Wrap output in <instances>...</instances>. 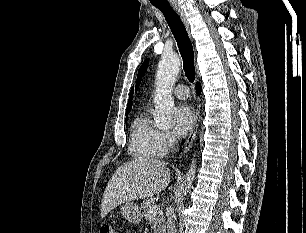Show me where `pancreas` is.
<instances>
[{
  "instance_id": "pancreas-1",
  "label": "pancreas",
  "mask_w": 306,
  "mask_h": 233,
  "mask_svg": "<svg viewBox=\"0 0 306 233\" xmlns=\"http://www.w3.org/2000/svg\"><path fill=\"white\" fill-rule=\"evenodd\" d=\"M155 199L153 197L143 200L141 208L143 209L142 216L145 217L147 221L152 217V228L154 233H165L164 215L162 212H157L156 215H149V208L154 205Z\"/></svg>"
}]
</instances>
